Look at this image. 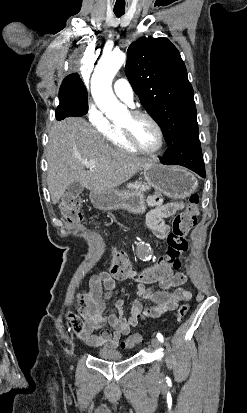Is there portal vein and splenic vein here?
I'll use <instances>...</instances> for the list:
<instances>
[{
    "instance_id": "portal-vein-and-splenic-vein-1",
    "label": "portal vein and splenic vein",
    "mask_w": 247,
    "mask_h": 413,
    "mask_svg": "<svg viewBox=\"0 0 247 413\" xmlns=\"http://www.w3.org/2000/svg\"><path fill=\"white\" fill-rule=\"evenodd\" d=\"M83 164H85V166H96L95 162V158H91V160H82Z\"/></svg>"
}]
</instances>
